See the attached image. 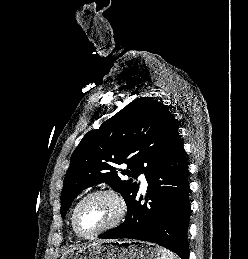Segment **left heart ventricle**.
Instances as JSON below:
<instances>
[{
  "label": "left heart ventricle",
  "mask_w": 248,
  "mask_h": 259,
  "mask_svg": "<svg viewBox=\"0 0 248 259\" xmlns=\"http://www.w3.org/2000/svg\"><path fill=\"white\" fill-rule=\"evenodd\" d=\"M117 213L118 205L112 197L98 195L81 205L77 213V224L83 233L91 234L113 221Z\"/></svg>",
  "instance_id": "left-heart-ventricle-1"
}]
</instances>
